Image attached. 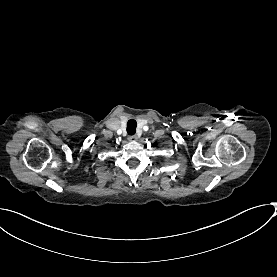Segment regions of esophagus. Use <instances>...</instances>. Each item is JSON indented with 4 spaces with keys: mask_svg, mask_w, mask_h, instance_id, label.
I'll list each match as a JSON object with an SVG mask.
<instances>
[{
    "mask_svg": "<svg viewBox=\"0 0 277 277\" xmlns=\"http://www.w3.org/2000/svg\"><path fill=\"white\" fill-rule=\"evenodd\" d=\"M137 139H138V137L136 136V135H132V136H128V140L130 141V142H136L137 141Z\"/></svg>",
    "mask_w": 277,
    "mask_h": 277,
    "instance_id": "1",
    "label": "esophagus"
}]
</instances>
